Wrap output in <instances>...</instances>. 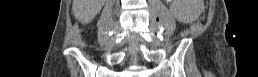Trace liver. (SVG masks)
Wrapping results in <instances>:
<instances>
[{
  "label": "liver",
  "instance_id": "obj_1",
  "mask_svg": "<svg viewBox=\"0 0 258 77\" xmlns=\"http://www.w3.org/2000/svg\"><path fill=\"white\" fill-rule=\"evenodd\" d=\"M89 0H73L72 10L75 16L81 21L90 19Z\"/></svg>",
  "mask_w": 258,
  "mask_h": 77
}]
</instances>
